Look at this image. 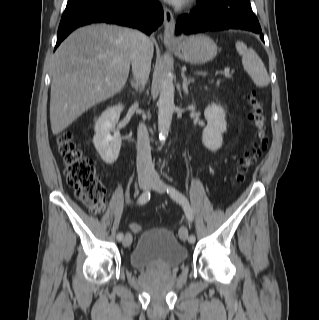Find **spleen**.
<instances>
[{
	"mask_svg": "<svg viewBox=\"0 0 319 320\" xmlns=\"http://www.w3.org/2000/svg\"><path fill=\"white\" fill-rule=\"evenodd\" d=\"M236 50L242 56V64L244 70L250 75L252 81L257 87L268 86L270 79L267 70L257 53L247 48V45L242 41H237Z\"/></svg>",
	"mask_w": 319,
	"mask_h": 320,
	"instance_id": "obj_1",
	"label": "spleen"
}]
</instances>
